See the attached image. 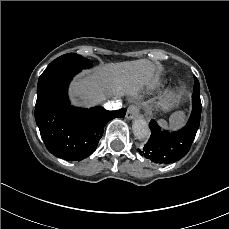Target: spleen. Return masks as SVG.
I'll return each instance as SVG.
<instances>
[{"instance_id":"obj_1","label":"spleen","mask_w":229,"mask_h":229,"mask_svg":"<svg viewBox=\"0 0 229 229\" xmlns=\"http://www.w3.org/2000/svg\"><path fill=\"white\" fill-rule=\"evenodd\" d=\"M183 121H184V118L182 117L181 112H175L170 117V122L172 126L175 124H181ZM161 124L166 125L165 121H161Z\"/></svg>"}]
</instances>
